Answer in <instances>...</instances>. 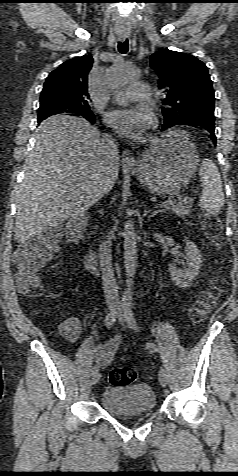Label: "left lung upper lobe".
Segmentation results:
<instances>
[{
	"mask_svg": "<svg viewBox=\"0 0 238 476\" xmlns=\"http://www.w3.org/2000/svg\"><path fill=\"white\" fill-rule=\"evenodd\" d=\"M150 65L164 89V125L195 120L215 121L214 90L207 67L196 57L163 49L150 57Z\"/></svg>",
	"mask_w": 238,
	"mask_h": 476,
	"instance_id": "obj_1",
	"label": "left lung upper lobe"
}]
</instances>
